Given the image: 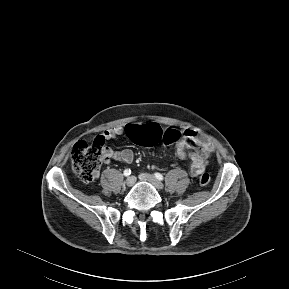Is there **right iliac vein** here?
Wrapping results in <instances>:
<instances>
[{
	"label": "right iliac vein",
	"mask_w": 289,
	"mask_h": 289,
	"mask_svg": "<svg viewBox=\"0 0 289 289\" xmlns=\"http://www.w3.org/2000/svg\"><path fill=\"white\" fill-rule=\"evenodd\" d=\"M135 177L131 176V177H128L125 181V185L128 186V187H131L135 184Z\"/></svg>",
	"instance_id": "right-iliac-vein-1"
}]
</instances>
